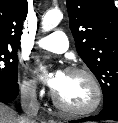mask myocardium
I'll return each instance as SVG.
<instances>
[{
  "label": "myocardium",
  "instance_id": "f54148a6",
  "mask_svg": "<svg viewBox=\"0 0 118 123\" xmlns=\"http://www.w3.org/2000/svg\"><path fill=\"white\" fill-rule=\"evenodd\" d=\"M66 72L84 75L93 87L94 100L87 107L73 108V107L65 105L59 99V97L54 91L52 92V99L56 107H58L63 112L70 114V115H74V116H84V115H89V114L96 112L101 106L102 101H103V90L96 76L90 70L83 68V67H70L66 70Z\"/></svg>",
  "mask_w": 118,
  "mask_h": 123
}]
</instances>
